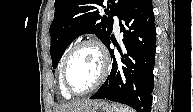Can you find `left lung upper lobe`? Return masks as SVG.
Returning <instances> with one entry per match:
<instances>
[{"label": "left lung upper lobe", "mask_w": 193, "mask_h": 112, "mask_svg": "<svg viewBox=\"0 0 193 112\" xmlns=\"http://www.w3.org/2000/svg\"><path fill=\"white\" fill-rule=\"evenodd\" d=\"M132 0H55L50 26L52 67L55 69L69 44L78 36L92 33L104 44L111 36L112 16H120ZM106 4V6H103ZM106 7L105 15L98 8Z\"/></svg>", "instance_id": "obj_1"}]
</instances>
